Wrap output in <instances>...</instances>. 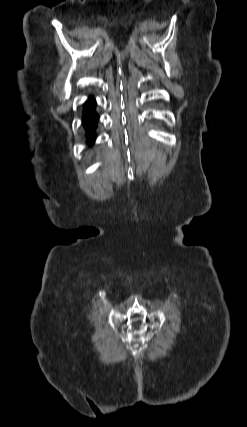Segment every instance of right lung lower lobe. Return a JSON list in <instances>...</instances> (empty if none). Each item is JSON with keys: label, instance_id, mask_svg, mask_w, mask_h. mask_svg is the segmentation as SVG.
Instances as JSON below:
<instances>
[{"label": "right lung lower lobe", "instance_id": "98d812e1", "mask_svg": "<svg viewBox=\"0 0 247 427\" xmlns=\"http://www.w3.org/2000/svg\"><path fill=\"white\" fill-rule=\"evenodd\" d=\"M96 101L94 98L89 97V99L84 104V112H83V126L86 131V141L87 144H93L95 142V129L97 127L99 116L95 112Z\"/></svg>", "mask_w": 247, "mask_h": 427}]
</instances>
